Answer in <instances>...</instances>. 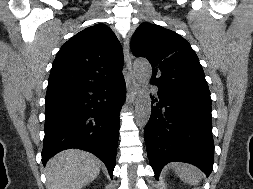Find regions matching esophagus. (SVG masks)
Instances as JSON below:
<instances>
[{"label": "esophagus", "mask_w": 253, "mask_h": 189, "mask_svg": "<svg viewBox=\"0 0 253 189\" xmlns=\"http://www.w3.org/2000/svg\"><path fill=\"white\" fill-rule=\"evenodd\" d=\"M124 48V60L127 68L131 71L132 62L129 51V40L126 39L123 45ZM139 96V82L131 73V100L135 103Z\"/></svg>", "instance_id": "esophagus-1"}]
</instances>
